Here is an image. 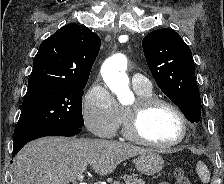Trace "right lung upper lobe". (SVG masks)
<instances>
[{"label": "right lung upper lobe", "mask_w": 224, "mask_h": 184, "mask_svg": "<svg viewBox=\"0 0 224 184\" xmlns=\"http://www.w3.org/2000/svg\"><path fill=\"white\" fill-rule=\"evenodd\" d=\"M100 43V38L85 26H63L41 43L28 85L87 83Z\"/></svg>", "instance_id": "right-lung-upper-lobe-1"}]
</instances>
